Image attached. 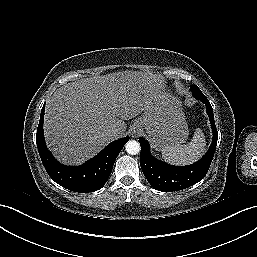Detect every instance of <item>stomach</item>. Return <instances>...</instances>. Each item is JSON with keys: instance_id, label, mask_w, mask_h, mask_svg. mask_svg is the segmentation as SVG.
<instances>
[{"instance_id": "stomach-1", "label": "stomach", "mask_w": 257, "mask_h": 257, "mask_svg": "<svg viewBox=\"0 0 257 257\" xmlns=\"http://www.w3.org/2000/svg\"><path fill=\"white\" fill-rule=\"evenodd\" d=\"M133 128H144L152 145L160 150L184 143L189 134L181 102L172 95L153 97Z\"/></svg>"}]
</instances>
